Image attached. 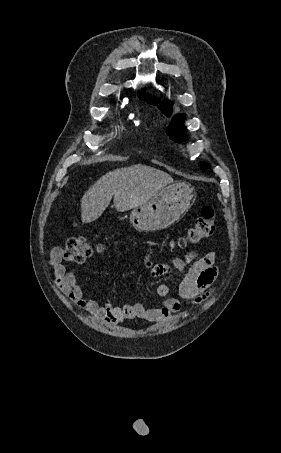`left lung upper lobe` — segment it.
<instances>
[{
	"label": "left lung upper lobe",
	"instance_id": "1",
	"mask_svg": "<svg viewBox=\"0 0 281 453\" xmlns=\"http://www.w3.org/2000/svg\"><path fill=\"white\" fill-rule=\"evenodd\" d=\"M138 96L141 100L143 101H146L148 103H153V100L150 98V96L148 95H145V93L142 91V92H139L138 93ZM170 103H163V104H160L159 108L160 110L165 114V115H168L169 114V110H170ZM185 119V115L184 114H179V115H176L175 117H173L172 119V123L171 125L168 127V134L173 138L175 139L176 141H180L183 133L185 132L186 128L183 127L181 124L182 122L184 121ZM202 169H209L211 166L205 162H200L198 164Z\"/></svg>",
	"mask_w": 281,
	"mask_h": 453
}]
</instances>
